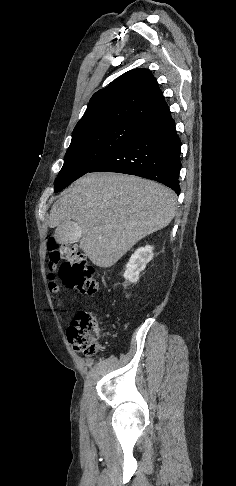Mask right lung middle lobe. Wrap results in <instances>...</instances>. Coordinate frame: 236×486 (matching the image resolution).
<instances>
[{
	"mask_svg": "<svg viewBox=\"0 0 236 486\" xmlns=\"http://www.w3.org/2000/svg\"><path fill=\"white\" fill-rule=\"evenodd\" d=\"M137 130L136 123H120L74 135L65 154L64 165L57 176L55 192L63 190L88 173L129 141Z\"/></svg>",
	"mask_w": 236,
	"mask_h": 486,
	"instance_id": "dd1d6c3e",
	"label": "right lung middle lobe"
}]
</instances>
